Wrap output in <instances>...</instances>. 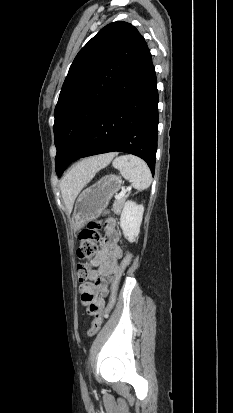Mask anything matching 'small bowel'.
I'll list each match as a JSON object with an SVG mask.
<instances>
[{
  "mask_svg": "<svg viewBox=\"0 0 233 413\" xmlns=\"http://www.w3.org/2000/svg\"><path fill=\"white\" fill-rule=\"evenodd\" d=\"M119 232L114 220H108L106 233L101 247L93 260L96 270L91 278L80 285V302L87 306L88 312L94 314L95 311L89 308H99L104 306V298L110 292V284H113L119 273V260L123 257V249L119 245Z\"/></svg>",
  "mask_w": 233,
  "mask_h": 413,
  "instance_id": "small-bowel-1",
  "label": "small bowel"
}]
</instances>
